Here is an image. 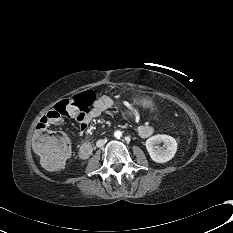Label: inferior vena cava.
Returning <instances> with one entry per match:
<instances>
[{
  "label": "inferior vena cava",
  "instance_id": "inferior-vena-cava-1",
  "mask_svg": "<svg viewBox=\"0 0 233 233\" xmlns=\"http://www.w3.org/2000/svg\"><path fill=\"white\" fill-rule=\"evenodd\" d=\"M104 144H105V140H103V139L98 140V141L96 142V146H97V147H101V146H103Z\"/></svg>",
  "mask_w": 233,
  "mask_h": 233
}]
</instances>
